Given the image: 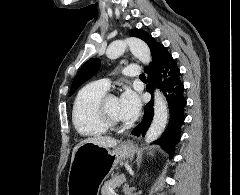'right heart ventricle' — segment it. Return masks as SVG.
<instances>
[{
    "mask_svg": "<svg viewBox=\"0 0 240 195\" xmlns=\"http://www.w3.org/2000/svg\"><path fill=\"white\" fill-rule=\"evenodd\" d=\"M107 88L101 82L86 85L78 93L72 111L73 123L77 131L86 137H99L107 133L99 114L101 99Z\"/></svg>",
    "mask_w": 240,
    "mask_h": 195,
    "instance_id": "obj_1",
    "label": "right heart ventricle"
}]
</instances>
